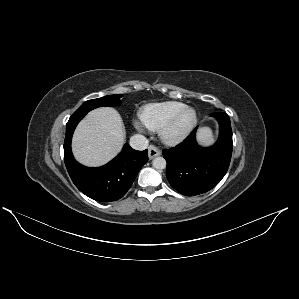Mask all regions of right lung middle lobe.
<instances>
[{
    "label": "right lung middle lobe",
    "instance_id": "dd1d6c3e",
    "mask_svg": "<svg viewBox=\"0 0 299 299\" xmlns=\"http://www.w3.org/2000/svg\"><path fill=\"white\" fill-rule=\"evenodd\" d=\"M121 94L117 95H108L105 97L92 99L84 102L74 113H88L92 109L101 107V106H118L121 104L120 98Z\"/></svg>",
    "mask_w": 299,
    "mask_h": 299
}]
</instances>
